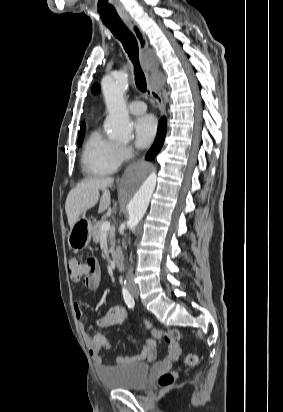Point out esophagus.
<instances>
[{"label":"esophagus","instance_id":"esophagus-1","mask_svg":"<svg viewBox=\"0 0 283 412\" xmlns=\"http://www.w3.org/2000/svg\"><path fill=\"white\" fill-rule=\"evenodd\" d=\"M125 24L131 30V32L134 34L137 40L138 47H139V53H140V59H141V65H142V68L147 78L151 96L156 101L159 107L160 115L163 116L165 115V106H164L163 98H162V86L159 84L156 78L157 65L154 61L146 58L145 56V53L148 50L147 38L144 32L138 26V24L134 22L132 19L125 20Z\"/></svg>","mask_w":283,"mask_h":412}]
</instances>
